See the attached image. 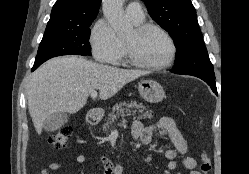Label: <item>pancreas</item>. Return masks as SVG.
<instances>
[{"instance_id":"obj_1","label":"pancreas","mask_w":249,"mask_h":174,"mask_svg":"<svg viewBox=\"0 0 249 174\" xmlns=\"http://www.w3.org/2000/svg\"><path fill=\"white\" fill-rule=\"evenodd\" d=\"M144 110H146L145 116L150 118L152 116V111L147 110L146 106L143 105V103H137L136 101L118 103L112 108V112L105 120L102 129L105 132L109 131L114 121L117 120L120 115L122 117L130 116L134 115L137 111L143 113Z\"/></svg>"}]
</instances>
